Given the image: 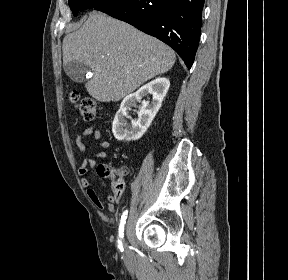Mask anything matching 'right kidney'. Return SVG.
I'll return each mask as SVG.
<instances>
[{
    "mask_svg": "<svg viewBox=\"0 0 288 280\" xmlns=\"http://www.w3.org/2000/svg\"><path fill=\"white\" fill-rule=\"evenodd\" d=\"M170 81L167 78H157L141 87L133 94L126 96L121 102L120 109L115 115L112 132L117 140H138L143 136L169 89ZM152 95V101H142V97ZM137 102L141 105L137 106ZM132 107L138 108V118H133L129 111Z\"/></svg>",
    "mask_w": 288,
    "mask_h": 280,
    "instance_id": "ca27d5eb",
    "label": "right kidney"
}]
</instances>
